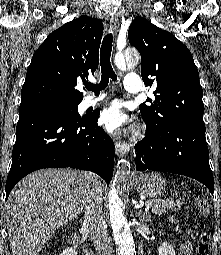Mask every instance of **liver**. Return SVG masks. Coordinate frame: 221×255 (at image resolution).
<instances>
[{
  "label": "liver",
  "instance_id": "obj_1",
  "mask_svg": "<svg viewBox=\"0 0 221 255\" xmlns=\"http://www.w3.org/2000/svg\"><path fill=\"white\" fill-rule=\"evenodd\" d=\"M97 182L102 189L94 174L72 169L38 170L24 177L6 203L13 255H38L59 227L83 211Z\"/></svg>",
  "mask_w": 221,
  "mask_h": 255
}]
</instances>
